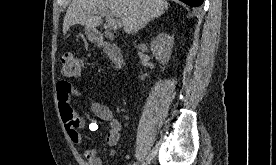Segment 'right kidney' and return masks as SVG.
Instances as JSON below:
<instances>
[{
    "mask_svg": "<svg viewBox=\"0 0 276 165\" xmlns=\"http://www.w3.org/2000/svg\"><path fill=\"white\" fill-rule=\"evenodd\" d=\"M173 44L174 37L164 33L158 35L151 43V51L153 53V56L163 66L169 62Z\"/></svg>",
    "mask_w": 276,
    "mask_h": 165,
    "instance_id": "right-kidney-1",
    "label": "right kidney"
}]
</instances>
